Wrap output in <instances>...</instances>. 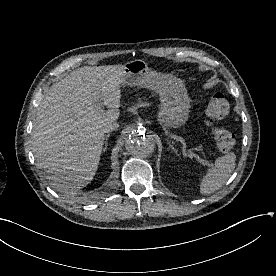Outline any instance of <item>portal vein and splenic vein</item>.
I'll return each mask as SVG.
<instances>
[{
  "label": "portal vein and splenic vein",
  "instance_id": "1",
  "mask_svg": "<svg viewBox=\"0 0 276 276\" xmlns=\"http://www.w3.org/2000/svg\"><path fill=\"white\" fill-rule=\"evenodd\" d=\"M96 109L99 110V111H102V102L100 100L97 101ZM184 148H185V144H184ZM189 153H190L191 157H196L200 162L203 163V165H207V166L210 165L208 161H204L199 156L194 154L191 150L189 151Z\"/></svg>",
  "mask_w": 276,
  "mask_h": 276
}]
</instances>
